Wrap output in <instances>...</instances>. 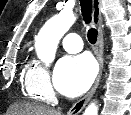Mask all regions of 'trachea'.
<instances>
[{
    "label": "trachea",
    "mask_w": 131,
    "mask_h": 115,
    "mask_svg": "<svg viewBox=\"0 0 131 115\" xmlns=\"http://www.w3.org/2000/svg\"><path fill=\"white\" fill-rule=\"evenodd\" d=\"M81 12L83 19L87 25L91 22L92 13V1L91 0H80ZM98 31L95 28L88 30V40L91 44H95L97 41Z\"/></svg>",
    "instance_id": "trachea-1"
}]
</instances>
